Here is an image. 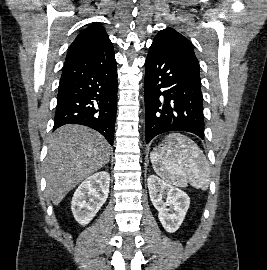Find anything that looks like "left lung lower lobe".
<instances>
[{
	"mask_svg": "<svg viewBox=\"0 0 267 270\" xmlns=\"http://www.w3.org/2000/svg\"><path fill=\"white\" fill-rule=\"evenodd\" d=\"M146 143L171 131L204 139L201 80L191 65L151 45L145 64Z\"/></svg>",
	"mask_w": 267,
	"mask_h": 270,
	"instance_id": "0a47b994",
	"label": "left lung lower lobe"
}]
</instances>
